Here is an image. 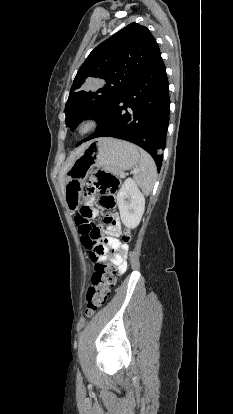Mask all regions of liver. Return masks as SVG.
Masks as SVG:
<instances>
[{"label":"liver","instance_id":"1","mask_svg":"<svg viewBox=\"0 0 233 414\" xmlns=\"http://www.w3.org/2000/svg\"><path fill=\"white\" fill-rule=\"evenodd\" d=\"M87 147V144L81 146L78 148L74 153L71 154L69 159L67 160L66 164L64 165L62 171L59 174V182L61 185V189L64 192L65 183H66V173L68 172L69 168L73 165L74 161L81 156L85 148Z\"/></svg>","mask_w":233,"mask_h":414}]
</instances>
